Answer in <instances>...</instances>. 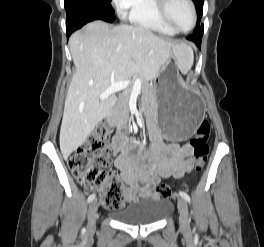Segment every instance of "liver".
Returning a JSON list of instances; mask_svg holds the SVG:
<instances>
[{
	"mask_svg": "<svg viewBox=\"0 0 264 247\" xmlns=\"http://www.w3.org/2000/svg\"><path fill=\"white\" fill-rule=\"evenodd\" d=\"M76 68L65 100L60 130L64 159L81 146L116 103V96L101 100L112 83L138 76L155 79L170 57V41L152 31L130 25L113 28L103 21L88 23L69 40Z\"/></svg>",
	"mask_w": 264,
	"mask_h": 247,
	"instance_id": "obj_1",
	"label": "liver"
}]
</instances>
